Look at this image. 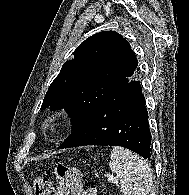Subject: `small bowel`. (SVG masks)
Wrapping results in <instances>:
<instances>
[{
	"instance_id": "obj_1",
	"label": "small bowel",
	"mask_w": 189,
	"mask_h": 195,
	"mask_svg": "<svg viewBox=\"0 0 189 195\" xmlns=\"http://www.w3.org/2000/svg\"><path fill=\"white\" fill-rule=\"evenodd\" d=\"M84 195H97V189L93 186L85 188Z\"/></svg>"
}]
</instances>
